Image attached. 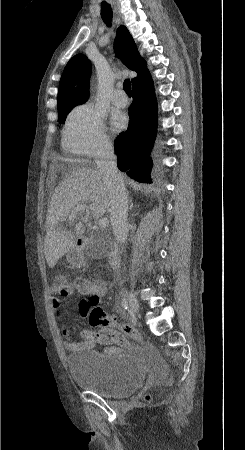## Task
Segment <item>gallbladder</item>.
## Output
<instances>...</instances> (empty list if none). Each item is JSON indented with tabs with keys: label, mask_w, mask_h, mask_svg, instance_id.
<instances>
[{
	"label": "gallbladder",
	"mask_w": 245,
	"mask_h": 450,
	"mask_svg": "<svg viewBox=\"0 0 245 450\" xmlns=\"http://www.w3.org/2000/svg\"><path fill=\"white\" fill-rule=\"evenodd\" d=\"M91 251H92L93 254L99 255L101 253V248H99V247L98 248H92Z\"/></svg>",
	"instance_id": "gallbladder-1"
}]
</instances>
